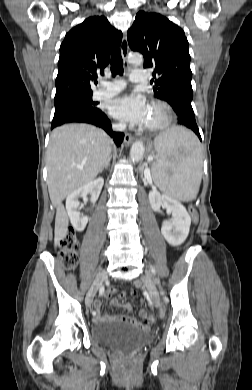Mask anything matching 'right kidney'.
Returning <instances> with one entry per match:
<instances>
[{"mask_svg":"<svg viewBox=\"0 0 252 390\" xmlns=\"http://www.w3.org/2000/svg\"><path fill=\"white\" fill-rule=\"evenodd\" d=\"M103 184L104 179L102 177H99L96 180H93L80 187L76 191L72 192L66 198V210L70 218L71 224L75 230L82 232L85 229L89 219L88 216H81L80 214L79 198L85 197L87 194L90 193L91 202L94 204L99 198Z\"/></svg>","mask_w":252,"mask_h":390,"instance_id":"1","label":"right kidney"}]
</instances>
